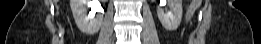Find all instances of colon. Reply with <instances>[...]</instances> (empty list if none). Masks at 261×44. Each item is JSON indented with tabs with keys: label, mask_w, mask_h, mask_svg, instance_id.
<instances>
[{
	"label": "colon",
	"mask_w": 261,
	"mask_h": 44,
	"mask_svg": "<svg viewBox=\"0 0 261 44\" xmlns=\"http://www.w3.org/2000/svg\"><path fill=\"white\" fill-rule=\"evenodd\" d=\"M200 3H201V0H191L190 1V5H189L187 13H186V22H189L192 19L193 15H194L195 11L197 10V8L199 7Z\"/></svg>",
	"instance_id": "colon-1"
}]
</instances>
